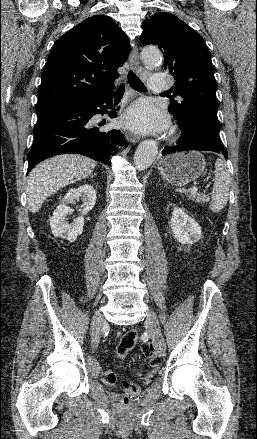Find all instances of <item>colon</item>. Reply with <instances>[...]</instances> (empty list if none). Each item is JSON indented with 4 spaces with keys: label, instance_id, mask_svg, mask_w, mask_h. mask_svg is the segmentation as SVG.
<instances>
[{
    "label": "colon",
    "instance_id": "1",
    "mask_svg": "<svg viewBox=\"0 0 257 439\" xmlns=\"http://www.w3.org/2000/svg\"><path fill=\"white\" fill-rule=\"evenodd\" d=\"M138 342V332L135 329H130L126 331L118 341L116 352L119 359L123 360L126 356L136 347ZM142 353L146 358L149 359L150 364L153 367H158L160 364V359L156 354L153 344L146 343L142 346ZM91 369L93 372L100 377L102 382L106 385H112L116 381L115 374L108 370H101L99 366L91 361ZM124 388L127 392L133 393L138 390V386L133 382H127L124 384ZM123 402L127 404L129 398L127 396L123 397Z\"/></svg>",
    "mask_w": 257,
    "mask_h": 439
}]
</instances>
